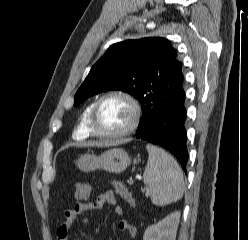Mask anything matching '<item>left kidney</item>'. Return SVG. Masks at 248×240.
Masks as SVG:
<instances>
[{
  "label": "left kidney",
  "instance_id": "1",
  "mask_svg": "<svg viewBox=\"0 0 248 240\" xmlns=\"http://www.w3.org/2000/svg\"><path fill=\"white\" fill-rule=\"evenodd\" d=\"M179 221L180 212L171 213L157 224L149 226L143 240H175Z\"/></svg>",
  "mask_w": 248,
  "mask_h": 240
}]
</instances>
